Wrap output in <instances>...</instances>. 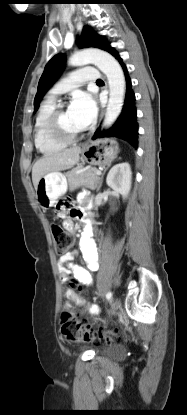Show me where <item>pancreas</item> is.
<instances>
[{
    "label": "pancreas",
    "instance_id": "pancreas-1",
    "mask_svg": "<svg viewBox=\"0 0 187 415\" xmlns=\"http://www.w3.org/2000/svg\"><path fill=\"white\" fill-rule=\"evenodd\" d=\"M96 168H88L77 172V170H72L67 174L69 189L74 191L80 187L89 188L94 190L98 187L100 180L99 175L95 173Z\"/></svg>",
    "mask_w": 187,
    "mask_h": 415
}]
</instances>
